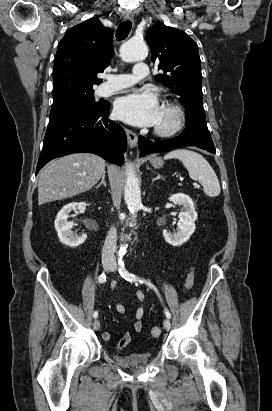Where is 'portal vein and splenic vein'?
Listing matches in <instances>:
<instances>
[{
  "instance_id": "18ae733b",
  "label": "portal vein and splenic vein",
  "mask_w": 272,
  "mask_h": 411,
  "mask_svg": "<svg viewBox=\"0 0 272 411\" xmlns=\"http://www.w3.org/2000/svg\"><path fill=\"white\" fill-rule=\"evenodd\" d=\"M193 185H197V183H193Z\"/></svg>"
}]
</instances>
